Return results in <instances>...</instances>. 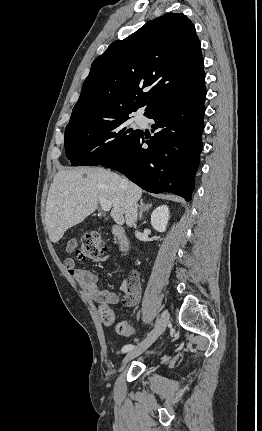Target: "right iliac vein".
<instances>
[{"instance_id": "right-iliac-vein-1", "label": "right iliac vein", "mask_w": 262, "mask_h": 431, "mask_svg": "<svg viewBox=\"0 0 262 431\" xmlns=\"http://www.w3.org/2000/svg\"><path fill=\"white\" fill-rule=\"evenodd\" d=\"M168 320L169 313L167 311H163L155 328L141 343H139L137 346L127 352V354L123 358V363L129 362L132 359L141 355L143 352H145L154 343V341L165 331Z\"/></svg>"}]
</instances>
